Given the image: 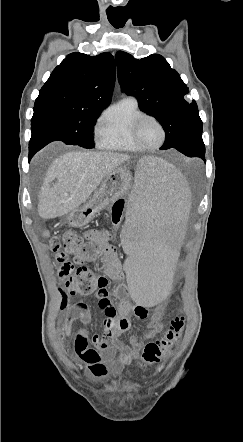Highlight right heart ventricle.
Listing matches in <instances>:
<instances>
[{
    "mask_svg": "<svg viewBox=\"0 0 243 442\" xmlns=\"http://www.w3.org/2000/svg\"><path fill=\"white\" fill-rule=\"evenodd\" d=\"M145 112L133 97H125L112 105L96 129L97 143L106 150L141 152L131 136L132 124Z\"/></svg>",
    "mask_w": 243,
    "mask_h": 442,
    "instance_id": "right-heart-ventricle-1",
    "label": "right heart ventricle"
}]
</instances>
